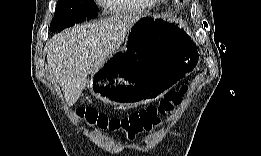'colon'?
I'll return each mask as SVG.
<instances>
[{
    "label": "colon",
    "instance_id": "1",
    "mask_svg": "<svg viewBox=\"0 0 261 156\" xmlns=\"http://www.w3.org/2000/svg\"><path fill=\"white\" fill-rule=\"evenodd\" d=\"M187 91V86L180 90L171 91L157 105H150L141 110L132 112L121 117H108L92 108H85L79 114L85 120L96 125L102 130L110 132H122L129 139H134L138 134L148 132L160 122L161 115H164L178 105Z\"/></svg>",
    "mask_w": 261,
    "mask_h": 156
}]
</instances>
